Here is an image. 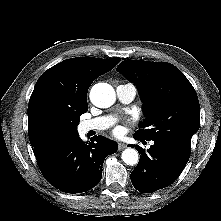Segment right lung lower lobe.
Masks as SVG:
<instances>
[{
	"mask_svg": "<svg viewBox=\"0 0 221 221\" xmlns=\"http://www.w3.org/2000/svg\"><path fill=\"white\" fill-rule=\"evenodd\" d=\"M117 151V143L95 136L84 143L77 135L56 142L35 155L45 179L60 191L81 193L96 186L105 158Z\"/></svg>",
	"mask_w": 221,
	"mask_h": 221,
	"instance_id": "98d812e1",
	"label": "right lung lower lobe"
}]
</instances>
